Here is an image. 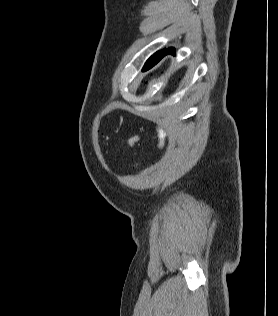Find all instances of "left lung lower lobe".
I'll list each match as a JSON object with an SVG mask.
<instances>
[{
	"instance_id": "1",
	"label": "left lung lower lobe",
	"mask_w": 278,
	"mask_h": 316,
	"mask_svg": "<svg viewBox=\"0 0 278 316\" xmlns=\"http://www.w3.org/2000/svg\"><path fill=\"white\" fill-rule=\"evenodd\" d=\"M168 54H172V55H175V48H168V49H165L163 52H162V54H161V58H160V60L164 57V56H166V55H168Z\"/></svg>"
}]
</instances>
